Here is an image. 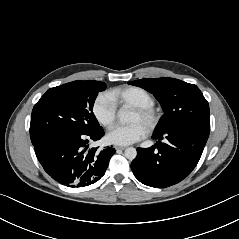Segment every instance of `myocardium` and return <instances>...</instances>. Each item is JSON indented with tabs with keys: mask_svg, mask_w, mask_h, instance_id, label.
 <instances>
[{
	"mask_svg": "<svg viewBox=\"0 0 239 239\" xmlns=\"http://www.w3.org/2000/svg\"><path fill=\"white\" fill-rule=\"evenodd\" d=\"M134 111L145 117L148 131H152L157 127L160 121V115L153 107H135Z\"/></svg>",
	"mask_w": 239,
	"mask_h": 239,
	"instance_id": "obj_1",
	"label": "myocardium"
}]
</instances>
